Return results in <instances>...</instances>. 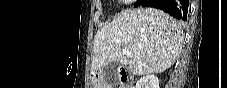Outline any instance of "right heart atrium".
I'll list each match as a JSON object with an SVG mask.
<instances>
[{"label": "right heart atrium", "mask_w": 227, "mask_h": 88, "mask_svg": "<svg viewBox=\"0 0 227 88\" xmlns=\"http://www.w3.org/2000/svg\"><path fill=\"white\" fill-rule=\"evenodd\" d=\"M125 2H126V3H131V2H132V0H125Z\"/></svg>", "instance_id": "obj_1"}]
</instances>
